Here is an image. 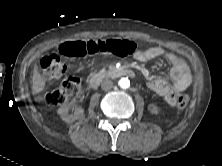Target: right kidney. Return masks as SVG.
<instances>
[{"mask_svg":"<svg viewBox=\"0 0 222 166\" xmlns=\"http://www.w3.org/2000/svg\"><path fill=\"white\" fill-rule=\"evenodd\" d=\"M74 113L69 114V107L64 106L58 109L57 113L66 123H72L84 115V109L80 106H73Z\"/></svg>","mask_w":222,"mask_h":166,"instance_id":"right-kidney-1","label":"right kidney"}]
</instances>
